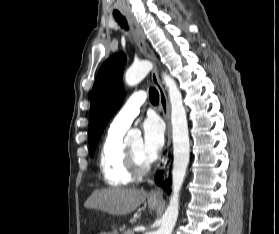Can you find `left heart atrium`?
Returning <instances> with one entry per match:
<instances>
[{
	"label": "left heart atrium",
	"instance_id": "left-heart-atrium-1",
	"mask_svg": "<svg viewBox=\"0 0 279 234\" xmlns=\"http://www.w3.org/2000/svg\"><path fill=\"white\" fill-rule=\"evenodd\" d=\"M143 149L149 160H154L164 144V128L156 117H149L142 123Z\"/></svg>",
	"mask_w": 279,
	"mask_h": 234
}]
</instances>
